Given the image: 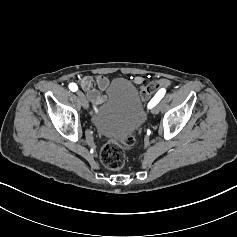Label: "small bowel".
<instances>
[{
    "label": "small bowel",
    "mask_w": 237,
    "mask_h": 237,
    "mask_svg": "<svg viewBox=\"0 0 237 237\" xmlns=\"http://www.w3.org/2000/svg\"><path fill=\"white\" fill-rule=\"evenodd\" d=\"M135 82L140 86L141 91L145 97L148 96L146 92L147 79L145 76H137ZM81 87L85 90L89 100L94 104L98 105L102 103L105 96L102 94L103 91L109 86V79L104 75L82 76L79 78ZM160 86H169L170 80L162 79L159 82Z\"/></svg>",
    "instance_id": "1"
}]
</instances>
